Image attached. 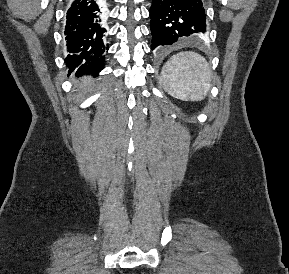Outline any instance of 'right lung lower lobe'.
Masks as SVG:
<instances>
[{
  "mask_svg": "<svg viewBox=\"0 0 289 274\" xmlns=\"http://www.w3.org/2000/svg\"><path fill=\"white\" fill-rule=\"evenodd\" d=\"M103 0H71L67 11L65 39L68 55L66 65L77 74L98 73L104 67L103 37L106 18Z\"/></svg>",
  "mask_w": 289,
  "mask_h": 274,
  "instance_id": "98d812e1",
  "label": "right lung lower lobe"
}]
</instances>
